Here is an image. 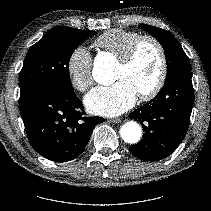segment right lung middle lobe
<instances>
[{
    "instance_id": "dd1d6c3e",
    "label": "right lung middle lobe",
    "mask_w": 211,
    "mask_h": 211,
    "mask_svg": "<svg viewBox=\"0 0 211 211\" xmlns=\"http://www.w3.org/2000/svg\"><path fill=\"white\" fill-rule=\"evenodd\" d=\"M94 33L67 26L49 30L27 52L19 74L20 95L44 86L73 93L69 59L73 51Z\"/></svg>"
}]
</instances>
